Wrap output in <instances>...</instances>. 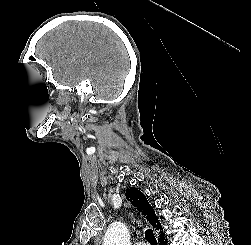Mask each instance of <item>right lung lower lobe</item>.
Here are the masks:
<instances>
[{
    "label": "right lung lower lobe",
    "instance_id": "98d812e1",
    "mask_svg": "<svg viewBox=\"0 0 251 245\" xmlns=\"http://www.w3.org/2000/svg\"><path fill=\"white\" fill-rule=\"evenodd\" d=\"M161 237L159 238V245H167V240L164 237V234L160 235Z\"/></svg>",
    "mask_w": 251,
    "mask_h": 245
}]
</instances>
